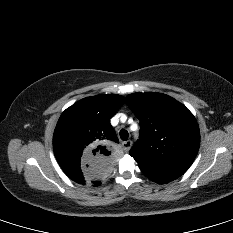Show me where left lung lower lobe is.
Instances as JSON below:
<instances>
[{
	"label": "left lung lower lobe",
	"mask_w": 233,
	"mask_h": 233,
	"mask_svg": "<svg viewBox=\"0 0 233 233\" xmlns=\"http://www.w3.org/2000/svg\"><path fill=\"white\" fill-rule=\"evenodd\" d=\"M139 167L147 178L159 184H165L172 180H175L184 173L180 171L156 170L152 168H146L143 166Z\"/></svg>",
	"instance_id": "0a47b994"
}]
</instances>
